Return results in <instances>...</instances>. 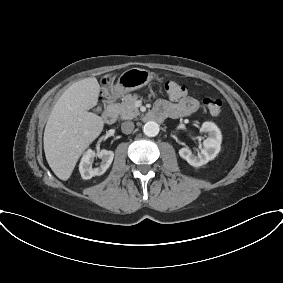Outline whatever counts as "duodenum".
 I'll return each instance as SVG.
<instances>
[{
  "label": "duodenum",
  "mask_w": 283,
  "mask_h": 283,
  "mask_svg": "<svg viewBox=\"0 0 283 283\" xmlns=\"http://www.w3.org/2000/svg\"><path fill=\"white\" fill-rule=\"evenodd\" d=\"M116 101V97L111 96L107 98L106 101V108L102 114L103 121L107 124H111L115 121L116 119V110L114 108V103ZM145 118L147 120L155 121V122H161L165 118H167V115L165 113L161 112H155L154 110L150 113H148Z\"/></svg>",
  "instance_id": "duodenum-1"
}]
</instances>
